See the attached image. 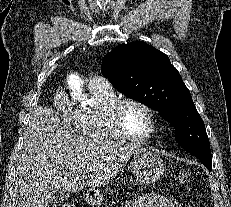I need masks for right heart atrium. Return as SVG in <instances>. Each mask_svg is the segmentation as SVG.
<instances>
[{
    "mask_svg": "<svg viewBox=\"0 0 231 207\" xmlns=\"http://www.w3.org/2000/svg\"><path fill=\"white\" fill-rule=\"evenodd\" d=\"M52 106L61 121L69 127H75L77 122V112H75L69 102L67 94L58 90L52 97Z\"/></svg>",
    "mask_w": 231,
    "mask_h": 207,
    "instance_id": "d8ad5b80",
    "label": "right heart atrium"
}]
</instances>
